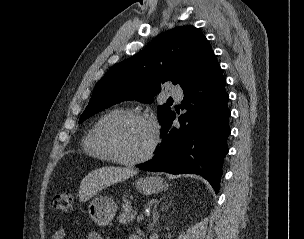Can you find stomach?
<instances>
[{"instance_id": "stomach-1", "label": "stomach", "mask_w": 304, "mask_h": 239, "mask_svg": "<svg viewBox=\"0 0 304 239\" xmlns=\"http://www.w3.org/2000/svg\"><path fill=\"white\" fill-rule=\"evenodd\" d=\"M136 189L145 195L156 194L165 189L166 185L160 177H144L135 182ZM117 204L109 197H95L88 205L91 219L100 226L108 225L115 216Z\"/></svg>"}]
</instances>
